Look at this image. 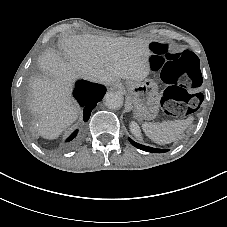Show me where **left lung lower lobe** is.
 I'll return each mask as SVG.
<instances>
[{
	"label": "left lung lower lobe",
	"mask_w": 227,
	"mask_h": 227,
	"mask_svg": "<svg viewBox=\"0 0 227 227\" xmlns=\"http://www.w3.org/2000/svg\"><path fill=\"white\" fill-rule=\"evenodd\" d=\"M129 141L135 147H137V148H139L141 150L147 151V152H151V153H164V152H167L168 151V149H157V148H152V147L144 146V145H141V144H138V143L134 142L131 139H129Z\"/></svg>",
	"instance_id": "0a47b994"
}]
</instances>
